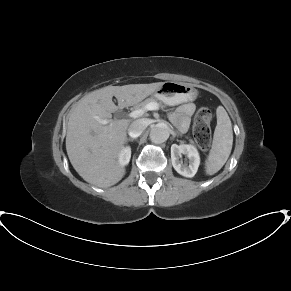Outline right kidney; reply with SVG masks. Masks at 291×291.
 Wrapping results in <instances>:
<instances>
[{
  "mask_svg": "<svg viewBox=\"0 0 291 291\" xmlns=\"http://www.w3.org/2000/svg\"><path fill=\"white\" fill-rule=\"evenodd\" d=\"M130 158H131V148L127 146L121 150L118 157V162L120 165L125 166L129 163Z\"/></svg>",
  "mask_w": 291,
  "mask_h": 291,
  "instance_id": "ca27d5eb",
  "label": "right kidney"
}]
</instances>
